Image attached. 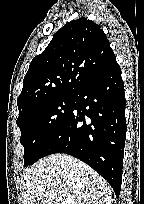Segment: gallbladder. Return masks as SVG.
<instances>
[{"instance_id":"1","label":"gallbladder","mask_w":144,"mask_h":204,"mask_svg":"<svg viewBox=\"0 0 144 204\" xmlns=\"http://www.w3.org/2000/svg\"><path fill=\"white\" fill-rule=\"evenodd\" d=\"M34 204H45V203H44V201H42V200H36V201L34 202Z\"/></svg>"}]
</instances>
